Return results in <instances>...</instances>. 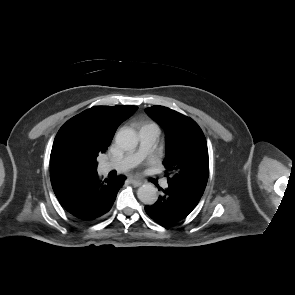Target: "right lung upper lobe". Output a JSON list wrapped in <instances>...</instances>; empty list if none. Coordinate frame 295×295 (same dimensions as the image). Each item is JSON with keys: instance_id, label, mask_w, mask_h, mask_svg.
Masks as SVG:
<instances>
[{"instance_id": "obj_1", "label": "right lung upper lobe", "mask_w": 295, "mask_h": 295, "mask_svg": "<svg viewBox=\"0 0 295 295\" xmlns=\"http://www.w3.org/2000/svg\"><path fill=\"white\" fill-rule=\"evenodd\" d=\"M137 109V106H96L68 120L53 143L51 179L97 173V156L106 152L118 126Z\"/></svg>"}]
</instances>
